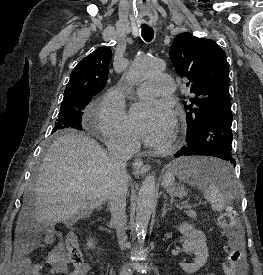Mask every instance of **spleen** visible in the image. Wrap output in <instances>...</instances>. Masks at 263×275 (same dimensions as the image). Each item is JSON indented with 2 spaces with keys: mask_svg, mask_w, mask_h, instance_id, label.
<instances>
[{
  "mask_svg": "<svg viewBox=\"0 0 263 275\" xmlns=\"http://www.w3.org/2000/svg\"><path fill=\"white\" fill-rule=\"evenodd\" d=\"M169 167L180 181L197 186L214 211H222L226 200L238 195L240 183L228 162L217 158L189 157L176 160Z\"/></svg>",
  "mask_w": 263,
  "mask_h": 275,
  "instance_id": "3e777b00",
  "label": "spleen"
}]
</instances>
